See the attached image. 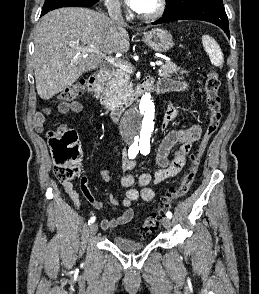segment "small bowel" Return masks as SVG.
Returning <instances> with one entry per match:
<instances>
[{
  "mask_svg": "<svg viewBox=\"0 0 259 294\" xmlns=\"http://www.w3.org/2000/svg\"><path fill=\"white\" fill-rule=\"evenodd\" d=\"M188 88V84L183 81L162 78L155 85V91L158 93L166 92H180ZM58 112L62 114H74L81 110V105L76 102H61L57 106ZM179 112V106L176 104H171L163 118V131L164 136L161 139L156 152V163L157 169L152 173H141L137 179H135L132 171L135 169V163L129 158L128 152H124L122 156V168L124 174L120 179L121 185L127 189L126 195L122 200H118L114 197L110 198L113 205H122L126 209L117 217H112L109 219H103L100 222V226L103 230H108L116 228L120 225L127 224L131 221L134 216V211L130 207L131 204L138 200L151 201L153 200L155 193L150 187L152 183L158 184L163 182L169 177H172L180 172L184 167L189 154L192 144L199 140L201 136V126L198 124L185 127L182 129H176L171 127V123L175 116ZM51 113V109L47 108L43 112H38L35 114L33 119V127L37 132H42L44 128V122L46 115ZM179 144V148L173 151V159L169 161V154L175 145ZM101 179L103 182H109L111 180V171L109 168L102 169ZM135 182L140 187L137 189L134 187ZM62 187L65 193L70 197L74 204L79 207V195L74 189L71 182H63ZM80 191L85 196V198L92 204L96 209H101L103 204L96 200V198L91 193L88 187V178L83 175L80 178Z\"/></svg>",
  "mask_w": 259,
  "mask_h": 294,
  "instance_id": "1",
  "label": "small bowel"
}]
</instances>
